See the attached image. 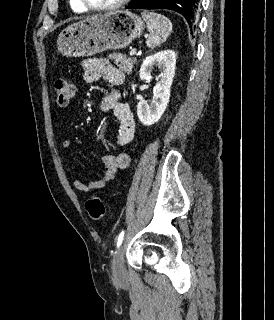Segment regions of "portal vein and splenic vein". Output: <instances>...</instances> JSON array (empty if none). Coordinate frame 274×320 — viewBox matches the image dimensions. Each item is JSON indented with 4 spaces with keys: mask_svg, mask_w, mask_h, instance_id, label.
<instances>
[{
    "mask_svg": "<svg viewBox=\"0 0 274 320\" xmlns=\"http://www.w3.org/2000/svg\"><path fill=\"white\" fill-rule=\"evenodd\" d=\"M134 54H136V50H131L130 56H134Z\"/></svg>",
    "mask_w": 274,
    "mask_h": 320,
    "instance_id": "obj_1",
    "label": "portal vein and splenic vein"
}]
</instances>
